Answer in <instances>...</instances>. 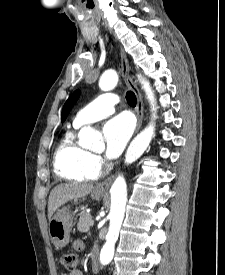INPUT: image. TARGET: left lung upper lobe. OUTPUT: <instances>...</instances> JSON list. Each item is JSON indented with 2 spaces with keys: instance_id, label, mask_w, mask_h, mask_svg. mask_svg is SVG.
<instances>
[{
  "instance_id": "obj_1",
  "label": "left lung upper lobe",
  "mask_w": 225,
  "mask_h": 275,
  "mask_svg": "<svg viewBox=\"0 0 225 275\" xmlns=\"http://www.w3.org/2000/svg\"><path fill=\"white\" fill-rule=\"evenodd\" d=\"M79 95H80V91L77 90L66 101V103H65V105L63 107V112H62V121H64L66 119V117L69 114L71 108L76 103Z\"/></svg>"
}]
</instances>
